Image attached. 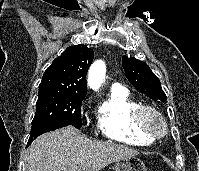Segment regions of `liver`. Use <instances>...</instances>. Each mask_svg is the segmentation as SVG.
<instances>
[{
	"mask_svg": "<svg viewBox=\"0 0 199 171\" xmlns=\"http://www.w3.org/2000/svg\"><path fill=\"white\" fill-rule=\"evenodd\" d=\"M135 155L138 152L127 146L90 140L67 126L38 137L30 145L25 171H99Z\"/></svg>",
	"mask_w": 199,
	"mask_h": 171,
	"instance_id": "liver-1",
	"label": "liver"
}]
</instances>
